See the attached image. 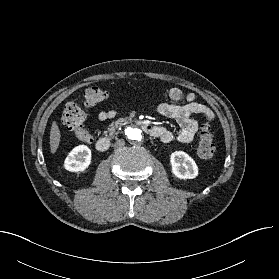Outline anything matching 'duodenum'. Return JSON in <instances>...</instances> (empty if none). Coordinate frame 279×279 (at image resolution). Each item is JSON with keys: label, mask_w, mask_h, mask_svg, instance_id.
<instances>
[{"label": "duodenum", "mask_w": 279, "mask_h": 279, "mask_svg": "<svg viewBox=\"0 0 279 279\" xmlns=\"http://www.w3.org/2000/svg\"><path fill=\"white\" fill-rule=\"evenodd\" d=\"M128 122H135L137 123L141 129L152 135V136H156L158 133V129L156 126L151 125L149 122L145 121V120H140V119H135V118H126L120 121V125H125ZM110 147V139L108 137H102L100 139H98V141L96 142V149L99 152H105L109 149Z\"/></svg>", "instance_id": "410a0bca"}]
</instances>
